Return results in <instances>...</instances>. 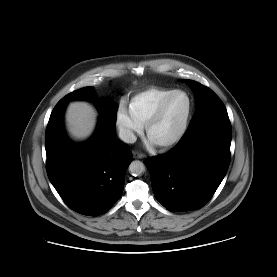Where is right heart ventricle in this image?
Here are the masks:
<instances>
[{
	"label": "right heart ventricle",
	"instance_id": "1",
	"mask_svg": "<svg viewBox=\"0 0 277 277\" xmlns=\"http://www.w3.org/2000/svg\"><path fill=\"white\" fill-rule=\"evenodd\" d=\"M174 90L154 86L135 94L129 101L130 114L142 126L145 125L160 101Z\"/></svg>",
	"mask_w": 277,
	"mask_h": 277
}]
</instances>
